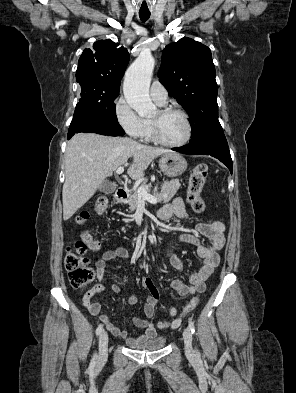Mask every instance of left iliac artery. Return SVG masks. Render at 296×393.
<instances>
[{"mask_svg": "<svg viewBox=\"0 0 296 393\" xmlns=\"http://www.w3.org/2000/svg\"><path fill=\"white\" fill-rule=\"evenodd\" d=\"M189 328H190L192 334L195 333V326H194V323L191 321L189 322ZM196 353L197 354L199 353L198 350H196Z\"/></svg>", "mask_w": 296, "mask_h": 393, "instance_id": "obj_1", "label": "left iliac artery"}]
</instances>
